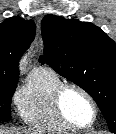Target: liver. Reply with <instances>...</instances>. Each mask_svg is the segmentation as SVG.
<instances>
[{
    "label": "liver",
    "mask_w": 116,
    "mask_h": 134,
    "mask_svg": "<svg viewBox=\"0 0 116 134\" xmlns=\"http://www.w3.org/2000/svg\"><path fill=\"white\" fill-rule=\"evenodd\" d=\"M0 134H36L31 131L16 130V129H2L0 128Z\"/></svg>",
    "instance_id": "obj_1"
}]
</instances>
